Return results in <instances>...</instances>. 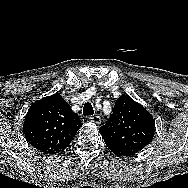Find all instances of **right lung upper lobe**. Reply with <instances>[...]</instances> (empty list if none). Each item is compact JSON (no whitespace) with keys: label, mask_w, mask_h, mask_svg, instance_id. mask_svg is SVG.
Instances as JSON below:
<instances>
[{"label":"right lung upper lobe","mask_w":188,"mask_h":188,"mask_svg":"<svg viewBox=\"0 0 188 188\" xmlns=\"http://www.w3.org/2000/svg\"><path fill=\"white\" fill-rule=\"evenodd\" d=\"M77 113L59 94L33 103L25 117L23 132L26 140L45 154L63 151L81 127Z\"/></svg>","instance_id":"1"}]
</instances>
